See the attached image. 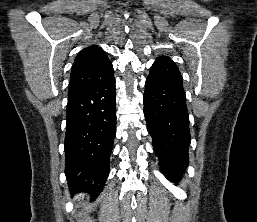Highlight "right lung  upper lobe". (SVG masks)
Masks as SVG:
<instances>
[{
    "mask_svg": "<svg viewBox=\"0 0 257 222\" xmlns=\"http://www.w3.org/2000/svg\"><path fill=\"white\" fill-rule=\"evenodd\" d=\"M113 66L105 52L97 46L80 51L72 66L68 96L86 90L105 79Z\"/></svg>",
    "mask_w": 257,
    "mask_h": 222,
    "instance_id": "1",
    "label": "right lung upper lobe"
}]
</instances>
